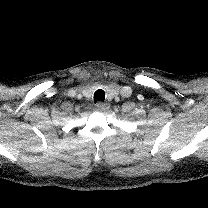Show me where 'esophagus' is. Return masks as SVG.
Returning a JSON list of instances; mask_svg holds the SVG:
<instances>
[{
    "instance_id": "34e87169",
    "label": "esophagus",
    "mask_w": 208,
    "mask_h": 208,
    "mask_svg": "<svg viewBox=\"0 0 208 208\" xmlns=\"http://www.w3.org/2000/svg\"><path fill=\"white\" fill-rule=\"evenodd\" d=\"M95 106H96V110L98 111L107 110L110 108V104L104 102H98Z\"/></svg>"
}]
</instances>
